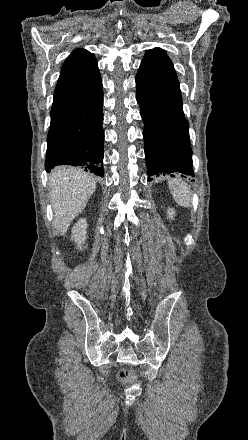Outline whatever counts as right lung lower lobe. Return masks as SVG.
Returning a JSON list of instances; mask_svg holds the SVG:
<instances>
[{
	"label": "right lung lower lobe",
	"instance_id": "98d812e1",
	"mask_svg": "<svg viewBox=\"0 0 248 440\" xmlns=\"http://www.w3.org/2000/svg\"><path fill=\"white\" fill-rule=\"evenodd\" d=\"M103 88L93 85L54 96L45 168L82 166L103 177Z\"/></svg>",
	"mask_w": 248,
	"mask_h": 440
}]
</instances>
